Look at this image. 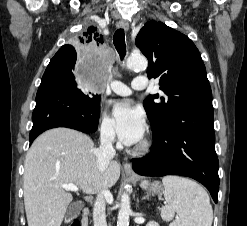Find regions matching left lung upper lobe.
I'll use <instances>...</instances> for the list:
<instances>
[{
	"instance_id": "5c2ea615",
	"label": "left lung upper lobe",
	"mask_w": 247,
	"mask_h": 226,
	"mask_svg": "<svg viewBox=\"0 0 247 226\" xmlns=\"http://www.w3.org/2000/svg\"><path fill=\"white\" fill-rule=\"evenodd\" d=\"M136 45L149 61L148 77H158L160 89L165 93L161 97L149 95L143 102L152 129L191 106L212 104L204 63L187 36L162 22L150 21L139 31Z\"/></svg>"
}]
</instances>
